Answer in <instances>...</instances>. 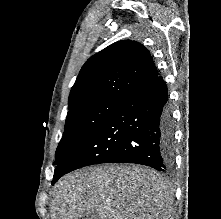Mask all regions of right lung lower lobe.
Returning a JSON list of instances; mask_svg holds the SVG:
<instances>
[{"label": "right lung lower lobe", "instance_id": "obj_1", "mask_svg": "<svg viewBox=\"0 0 221 219\" xmlns=\"http://www.w3.org/2000/svg\"><path fill=\"white\" fill-rule=\"evenodd\" d=\"M168 92L157 76L127 94L94 134L56 167L54 184L75 169L101 163H135L169 171L174 127Z\"/></svg>", "mask_w": 221, "mask_h": 219}]
</instances>
